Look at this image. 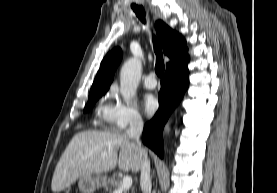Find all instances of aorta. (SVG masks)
<instances>
[{
    "instance_id": "obj_1",
    "label": "aorta",
    "mask_w": 277,
    "mask_h": 193,
    "mask_svg": "<svg viewBox=\"0 0 277 193\" xmlns=\"http://www.w3.org/2000/svg\"><path fill=\"white\" fill-rule=\"evenodd\" d=\"M142 73L141 61L137 58L128 59L120 71V92L127 101L136 94ZM167 130V129H166Z\"/></svg>"
}]
</instances>
